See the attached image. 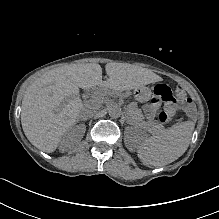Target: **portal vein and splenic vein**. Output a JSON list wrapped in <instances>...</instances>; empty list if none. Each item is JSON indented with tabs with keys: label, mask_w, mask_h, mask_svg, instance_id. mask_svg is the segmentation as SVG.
Returning a JSON list of instances; mask_svg holds the SVG:
<instances>
[{
	"label": "portal vein and splenic vein",
	"mask_w": 219,
	"mask_h": 219,
	"mask_svg": "<svg viewBox=\"0 0 219 219\" xmlns=\"http://www.w3.org/2000/svg\"><path fill=\"white\" fill-rule=\"evenodd\" d=\"M87 96H88L87 94H84V95H83V97H87Z\"/></svg>",
	"instance_id": "18ae733b"
}]
</instances>
